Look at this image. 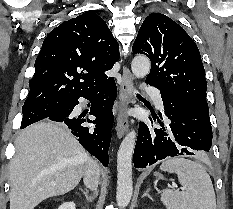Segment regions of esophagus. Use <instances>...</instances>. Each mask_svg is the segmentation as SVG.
Masks as SVG:
<instances>
[{"instance_id": "1", "label": "esophagus", "mask_w": 233, "mask_h": 209, "mask_svg": "<svg viewBox=\"0 0 233 209\" xmlns=\"http://www.w3.org/2000/svg\"><path fill=\"white\" fill-rule=\"evenodd\" d=\"M133 90V76L127 67L123 66V73L119 92V111L116 123V134L118 138H122L128 130L129 119L127 116V110L132 101Z\"/></svg>"}]
</instances>
